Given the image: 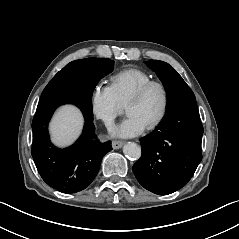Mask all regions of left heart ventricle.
<instances>
[{"label": "left heart ventricle", "mask_w": 239, "mask_h": 239, "mask_svg": "<svg viewBox=\"0 0 239 239\" xmlns=\"http://www.w3.org/2000/svg\"><path fill=\"white\" fill-rule=\"evenodd\" d=\"M163 107V94L160 88L153 87L140 101L127 106V114L137 115L148 126L160 114Z\"/></svg>", "instance_id": "obj_1"}]
</instances>
